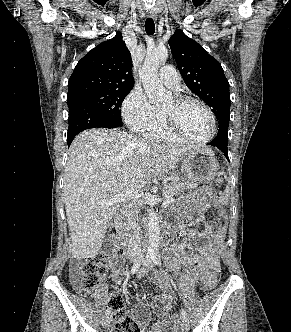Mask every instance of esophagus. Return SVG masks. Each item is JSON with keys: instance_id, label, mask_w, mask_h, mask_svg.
<instances>
[{"instance_id": "esophagus-1", "label": "esophagus", "mask_w": 291, "mask_h": 332, "mask_svg": "<svg viewBox=\"0 0 291 332\" xmlns=\"http://www.w3.org/2000/svg\"><path fill=\"white\" fill-rule=\"evenodd\" d=\"M148 17H149V18L156 19V18H157L156 11L153 10V9H150V10L148 11Z\"/></svg>"}]
</instances>
